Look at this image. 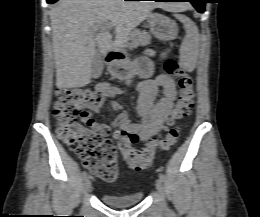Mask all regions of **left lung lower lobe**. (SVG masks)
Masks as SVG:
<instances>
[{"label": "left lung lower lobe", "mask_w": 260, "mask_h": 217, "mask_svg": "<svg viewBox=\"0 0 260 217\" xmlns=\"http://www.w3.org/2000/svg\"><path fill=\"white\" fill-rule=\"evenodd\" d=\"M154 1H161V2H181V1H188L193 4V6L197 9L198 12L203 13L205 11V3L206 0H154Z\"/></svg>", "instance_id": "1"}]
</instances>
